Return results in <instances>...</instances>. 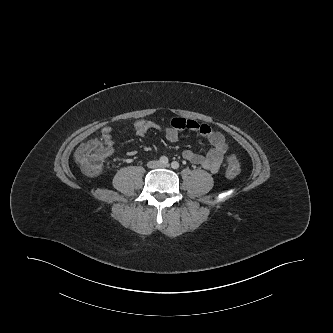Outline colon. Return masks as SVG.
<instances>
[{
	"label": "colon",
	"mask_w": 333,
	"mask_h": 333,
	"mask_svg": "<svg viewBox=\"0 0 333 333\" xmlns=\"http://www.w3.org/2000/svg\"><path fill=\"white\" fill-rule=\"evenodd\" d=\"M108 154L105 141L94 139L82 144L75 152V161L78 166L88 175H98L103 166L104 159ZM241 172V164L235 156L228 158L226 175L235 178Z\"/></svg>",
	"instance_id": "5ec220e1"
}]
</instances>
